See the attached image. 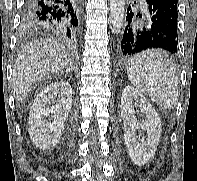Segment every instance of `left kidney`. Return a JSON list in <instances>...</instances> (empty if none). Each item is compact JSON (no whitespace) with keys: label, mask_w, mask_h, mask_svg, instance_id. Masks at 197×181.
<instances>
[{"label":"left kidney","mask_w":197,"mask_h":181,"mask_svg":"<svg viewBox=\"0 0 197 181\" xmlns=\"http://www.w3.org/2000/svg\"><path fill=\"white\" fill-rule=\"evenodd\" d=\"M133 101L139 103L145 120L135 117ZM121 117L124 121V142L132 162L138 166L145 165L154 155L159 143L162 127L161 120L150 102L134 87L126 86L121 96ZM142 129L145 133L140 138L136 131Z\"/></svg>","instance_id":"left-kidney-1"}]
</instances>
